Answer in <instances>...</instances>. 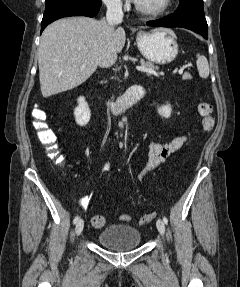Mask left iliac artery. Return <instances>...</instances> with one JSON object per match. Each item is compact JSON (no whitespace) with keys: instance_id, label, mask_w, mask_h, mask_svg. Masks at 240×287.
I'll return each instance as SVG.
<instances>
[{"instance_id":"1","label":"left iliac artery","mask_w":240,"mask_h":287,"mask_svg":"<svg viewBox=\"0 0 240 287\" xmlns=\"http://www.w3.org/2000/svg\"><path fill=\"white\" fill-rule=\"evenodd\" d=\"M163 221H164L165 224L168 223V219L165 216L163 217Z\"/></svg>"}]
</instances>
